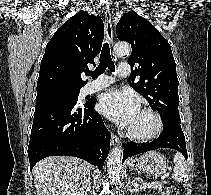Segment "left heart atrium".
I'll use <instances>...</instances> for the list:
<instances>
[{
    "label": "left heart atrium",
    "instance_id": "left-heart-atrium-1",
    "mask_svg": "<svg viewBox=\"0 0 211 195\" xmlns=\"http://www.w3.org/2000/svg\"><path fill=\"white\" fill-rule=\"evenodd\" d=\"M99 110L113 122L130 127L140 108L132 93L110 90L100 97Z\"/></svg>",
    "mask_w": 211,
    "mask_h": 195
}]
</instances>
